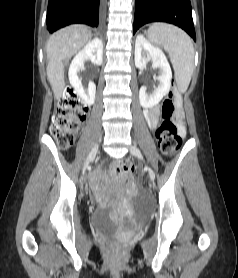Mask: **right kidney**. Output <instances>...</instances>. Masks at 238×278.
<instances>
[{
  "label": "right kidney",
  "instance_id": "ca27d5eb",
  "mask_svg": "<svg viewBox=\"0 0 238 278\" xmlns=\"http://www.w3.org/2000/svg\"><path fill=\"white\" fill-rule=\"evenodd\" d=\"M84 59H89L94 65L99 66L103 61V43L100 39L95 38L89 41L84 48L79 51L72 60L69 67V81L75 92L87 104L92 105L95 100L96 86L89 82L87 90L82 86L78 72L84 68Z\"/></svg>",
  "mask_w": 238,
  "mask_h": 278
}]
</instances>
